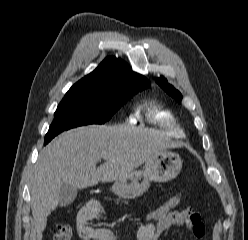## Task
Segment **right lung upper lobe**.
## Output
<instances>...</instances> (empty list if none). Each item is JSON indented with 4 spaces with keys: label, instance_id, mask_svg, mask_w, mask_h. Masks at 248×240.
<instances>
[{
    "label": "right lung upper lobe",
    "instance_id": "obj_1",
    "mask_svg": "<svg viewBox=\"0 0 248 240\" xmlns=\"http://www.w3.org/2000/svg\"><path fill=\"white\" fill-rule=\"evenodd\" d=\"M131 80L150 83L144 76L133 72L121 59L107 57L93 72L74 84L70 90L112 88Z\"/></svg>",
    "mask_w": 248,
    "mask_h": 240
}]
</instances>
